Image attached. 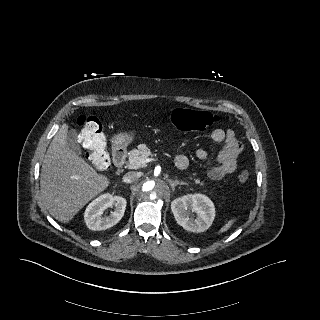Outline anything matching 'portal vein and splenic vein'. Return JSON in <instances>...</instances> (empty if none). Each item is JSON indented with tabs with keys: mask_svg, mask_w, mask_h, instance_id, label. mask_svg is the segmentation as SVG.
<instances>
[{
	"mask_svg": "<svg viewBox=\"0 0 320 320\" xmlns=\"http://www.w3.org/2000/svg\"><path fill=\"white\" fill-rule=\"evenodd\" d=\"M150 161H152L151 158H146V159H141V160H140V163H141V164H146V163H148V162H150ZM134 168H136V167L133 166V169H134Z\"/></svg>",
	"mask_w": 320,
	"mask_h": 320,
	"instance_id": "portal-vein-and-splenic-vein-1",
	"label": "portal vein and splenic vein"
}]
</instances>
